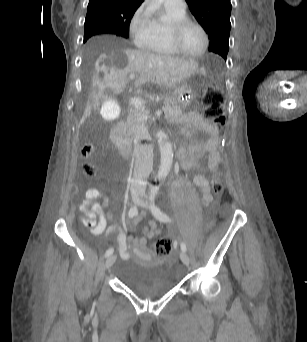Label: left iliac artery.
Instances as JSON below:
<instances>
[{"label":"left iliac artery","mask_w":307,"mask_h":342,"mask_svg":"<svg viewBox=\"0 0 307 342\" xmlns=\"http://www.w3.org/2000/svg\"><path fill=\"white\" fill-rule=\"evenodd\" d=\"M159 191V187L158 186H153L150 188V208H151V212L154 215V217L156 219H158L159 221L162 222H170L171 219L169 216H167L165 213H163L158 207H156L155 205V200L157 197V193ZM181 250L186 252L187 251V246L184 242H181L180 244Z\"/></svg>","instance_id":"left-iliac-artery-1"}]
</instances>
